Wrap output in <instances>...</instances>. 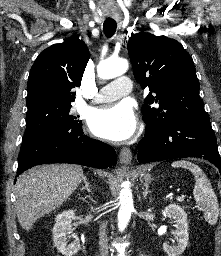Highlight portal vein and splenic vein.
<instances>
[{
  "mask_svg": "<svg viewBox=\"0 0 221 256\" xmlns=\"http://www.w3.org/2000/svg\"><path fill=\"white\" fill-rule=\"evenodd\" d=\"M176 200H177V201H184V196H178V197L176 198Z\"/></svg>",
  "mask_w": 221,
  "mask_h": 256,
  "instance_id": "obj_1",
  "label": "portal vein and splenic vein"
}]
</instances>
